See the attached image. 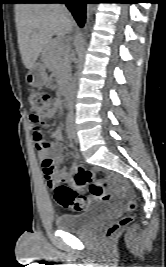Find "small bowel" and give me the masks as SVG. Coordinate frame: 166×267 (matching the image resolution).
<instances>
[{"label": "small bowel", "instance_id": "small-bowel-1", "mask_svg": "<svg viewBox=\"0 0 166 267\" xmlns=\"http://www.w3.org/2000/svg\"><path fill=\"white\" fill-rule=\"evenodd\" d=\"M59 105L58 103H53V106L47 110L45 113H43L40 118L38 120H33L31 117H30V128H31V131H32V135H33V139H34V142H35V145H36V148H37V151H38V155L40 157V159L43 160V164L46 162V161H49L52 163V165L54 167H56L58 164H60V162L62 161V146L60 144V142L63 140V132L62 130L60 129H57L55 130L53 133H52V137L55 139V143H47L44 139V142L43 143H39L38 140H37V134L38 132H42V129H41V123L45 120V119H49V118H52L55 113L57 112V109H58ZM44 136V135H43ZM53 174H47L45 171H44V175L46 177L47 180L51 181L52 180V177H53ZM59 175L65 179V180H69V177H68V174L67 172L65 171V169H62L59 171ZM122 181L118 178V184H121ZM104 196L102 197V200L103 201H112L113 200V197L110 196L111 194L109 192H105L103 194Z\"/></svg>", "mask_w": 166, "mask_h": 267}]
</instances>
